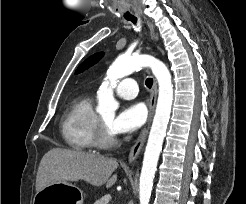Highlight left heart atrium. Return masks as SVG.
Wrapping results in <instances>:
<instances>
[{
  "label": "left heart atrium",
  "instance_id": "39dd6f15",
  "mask_svg": "<svg viewBox=\"0 0 246 204\" xmlns=\"http://www.w3.org/2000/svg\"><path fill=\"white\" fill-rule=\"evenodd\" d=\"M147 117L146 107L142 103H132L124 106L111 123L115 134L129 133L140 128Z\"/></svg>",
  "mask_w": 246,
  "mask_h": 204
}]
</instances>
